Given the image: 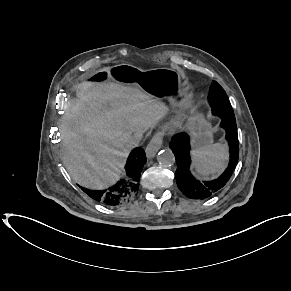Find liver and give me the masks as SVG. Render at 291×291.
I'll return each instance as SVG.
<instances>
[{
	"label": "liver",
	"instance_id": "1",
	"mask_svg": "<svg viewBox=\"0 0 291 291\" xmlns=\"http://www.w3.org/2000/svg\"><path fill=\"white\" fill-rule=\"evenodd\" d=\"M166 113L159 99L109 73L104 80L81 83L60 127L63 161L71 177L90 189L114 184L131 150L127 140L141 138Z\"/></svg>",
	"mask_w": 291,
	"mask_h": 291
}]
</instances>
